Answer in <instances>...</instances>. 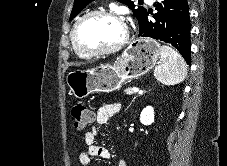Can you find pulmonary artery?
<instances>
[{"label": "pulmonary artery", "mask_w": 227, "mask_h": 166, "mask_svg": "<svg viewBox=\"0 0 227 166\" xmlns=\"http://www.w3.org/2000/svg\"><path fill=\"white\" fill-rule=\"evenodd\" d=\"M148 4L152 5L154 0H145Z\"/></svg>", "instance_id": "obj_1"}]
</instances>
